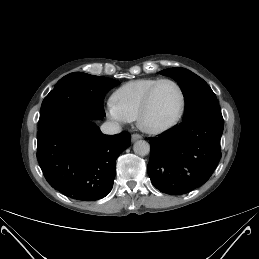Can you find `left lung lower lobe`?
<instances>
[{"mask_svg":"<svg viewBox=\"0 0 259 259\" xmlns=\"http://www.w3.org/2000/svg\"><path fill=\"white\" fill-rule=\"evenodd\" d=\"M221 113H206L150 138L152 184L169 195L186 194L209 180L220 158Z\"/></svg>","mask_w":259,"mask_h":259,"instance_id":"0a47b994","label":"left lung lower lobe"}]
</instances>
